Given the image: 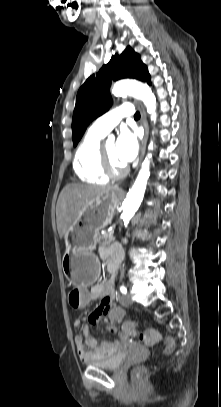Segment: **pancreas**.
Segmentation results:
<instances>
[{"label":"pancreas","mask_w":221,"mask_h":407,"mask_svg":"<svg viewBox=\"0 0 221 407\" xmlns=\"http://www.w3.org/2000/svg\"><path fill=\"white\" fill-rule=\"evenodd\" d=\"M114 241L113 233L107 232L105 234L99 235L97 242L99 246H109Z\"/></svg>","instance_id":"cf45deb5"}]
</instances>
